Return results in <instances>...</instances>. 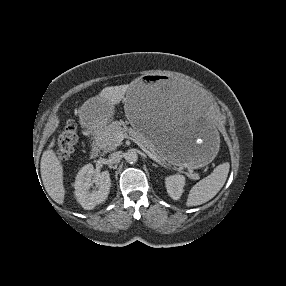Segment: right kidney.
I'll return each instance as SVG.
<instances>
[{"label": "right kidney", "mask_w": 286, "mask_h": 286, "mask_svg": "<svg viewBox=\"0 0 286 286\" xmlns=\"http://www.w3.org/2000/svg\"><path fill=\"white\" fill-rule=\"evenodd\" d=\"M93 182H96L98 190L90 191ZM111 187L110 174L103 171L94 174L92 164H86L78 172L75 182V196L80 205L87 210L93 209L96 205L103 203L109 194Z\"/></svg>", "instance_id": "obj_1"}]
</instances>
